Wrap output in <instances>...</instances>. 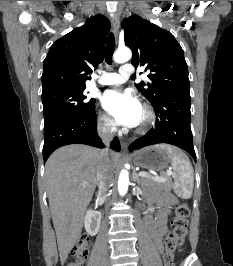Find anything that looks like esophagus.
<instances>
[{
    "mask_svg": "<svg viewBox=\"0 0 233 266\" xmlns=\"http://www.w3.org/2000/svg\"><path fill=\"white\" fill-rule=\"evenodd\" d=\"M111 23H112L113 33H114L115 37L117 38L118 33H119V26H120V20H119L118 15H116V14L113 15ZM120 144H121L122 151L126 152L127 147H128L127 142L124 140H121Z\"/></svg>",
    "mask_w": 233,
    "mask_h": 266,
    "instance_id": "esophagus-1",
    "label": "esophagus"
}]
</instances>
